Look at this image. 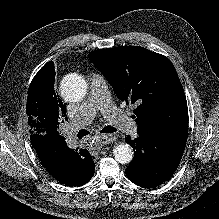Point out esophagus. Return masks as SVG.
I'll use <instances>...</instances> for the list:
<instances>
[{
	"label": "esophagus",
	"mask_w": 219,
	"mask_h": 219,
	"mask_svg": "<svg viewBox=\"0 0 219 219\" xmlns=\"http://www.w3.org/2000/svg\"><path fill=\"white\" fill-rule=\"evenodd\" d=\"M115 139L116 137L114 135H101L98 138V142L101 145H107V144L113 143Z\"/></svg>",
	"instance_id": "1"
}]
</instances>
